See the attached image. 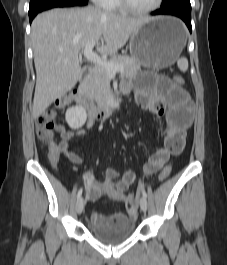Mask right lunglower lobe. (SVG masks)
<instances>
[{
	"mask_svg": "<svg viewBox=\"0 0 227 265\" xmlns=\"http://www.w3.org/2000/svg\"><path fill=\"white\" fill-rule=\"evenodd\" d=\"M88 3V0H54L52 2H49L45 4L41 9L29 13V19L30 23L33 20V18L39 13L44 10H48L55 7H71V6H82L86 5Z\"/></svg>",
	"mask_w": 227,
	"mask_h": 265,
	"instance_id": "1",
	"label": "right lung lower lobe"
}]
</instances>
